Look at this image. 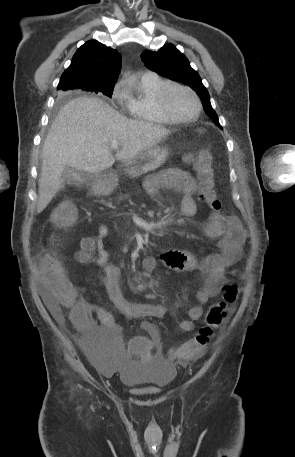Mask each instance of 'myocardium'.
Wrapping results in <instances>:
<instances>
[{"label":"myocardium","mask_w":295,"mask_h":457,"mask_svg":"<svg viewBox=\"0 0 295 457\" xmlns=\"http://www.w3.org/2000/svg\"><path fill=\"white\" fill-rule=\"evenodd\" d=\"M172 88H179L189 92L194 98L196 104V110L192 116L189 117H177L175 116L167 105V96ZM157 104L164 116H166L171 122L174 123H186L197 119L201 113L202 105L199 96L197 93L190 87L176 83V82H167L165 83L157 93Z\"/></svg>","instance_id":"obj_1"}]
</instances>
